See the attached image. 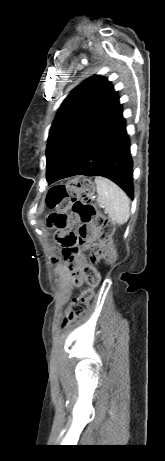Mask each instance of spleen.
<instances>
[{"label": "spleen", "mask_w": 165, "mask_h": 461, "mask_svg": "<svg viewBox=\"0 0 165 461\" xmlns=\"http://www.w3.org/2000/svg\"><path fill=\"white\" fill-rule=\"evenodd\" d=\"M99 204L104 205L108 217L116 224L123 225L130 216V199L126 193L111 180L95 178Z\"/></svg>", "instance_id": "spleen-1"}]
</instances>
